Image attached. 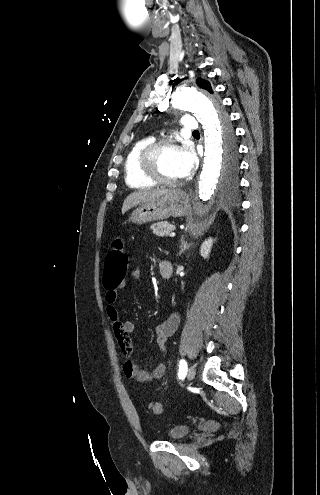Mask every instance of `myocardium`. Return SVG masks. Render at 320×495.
<instances>
[{"label":"myocardium","instance_id":"obj_1","mask_svg":"<svg viewBox=\"0 0 320 495\" xmlns=\"http://www.w3.org/2000/svg\"><path fill=\"white\" fill-rule=\"evenodd\" d=\"M183 141L173 137H164L148 144L140 153L139 168L144 176L157 184L175 186L180 180L168 179L162 176L157 167L159 153L166 147L181 148Z\"/></svg>","mask_w":320,"mask_h":495}]
</instances>
